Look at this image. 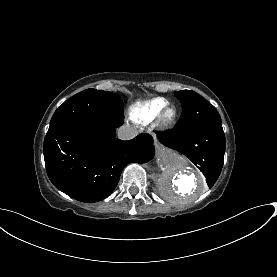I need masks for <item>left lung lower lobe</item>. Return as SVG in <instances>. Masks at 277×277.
I'll use <instances>...</instances> for the list:
<instances>
[{
    "mask_svg": "<svg viewBox=\"0 0 277 277\" xmlns=\"http://www.w3.org/2000/svg\"><path fill=\"white\" fill-rule=\"evenodd\" d=\"M156 134L164 146L184 154L200 169L209 188L215 184L222 170L225 153L222 122L174 128Z\"/></svg>",
    "mask_w": 277,
    "mask_h": 277,
    "instance_id": "obj_1",
    "label": "left lung lower lobe"
}]
</instances>
